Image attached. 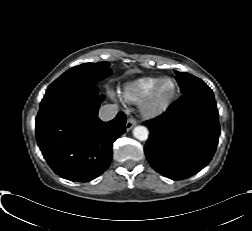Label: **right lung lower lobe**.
<instances>
[{
	"label": "right lung lower lobe",
	"mask_w": 252,
	"mask_h": 231,
	"mask_svg": "<svg viewBox=\"0 0 252 231\" xmlns=\"http://www.w3.org/2000/svg\"><path fill=\"white\" fill-rule=\"evenodd\" d=\"M104 96L95 84L45 95L36 117V137L44 158L61 177L87 182L101 175L112 158L113 142L125 132L123 112L111 121L98 118Z\"/></svg>",
	"instance_id": "98d812e1"
}]
</instances>
